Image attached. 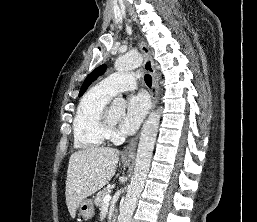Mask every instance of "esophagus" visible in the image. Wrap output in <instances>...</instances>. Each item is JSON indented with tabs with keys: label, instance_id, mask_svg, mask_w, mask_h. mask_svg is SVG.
I'll return each instance as SVG.
<instances>
[{
	"label": "esophagus",
	"instance_id": "esophagus-1",
	"mask_svg": "<svg viewBox=\"0 0 257 222\" xmlns=\"http://www.w3.org/2000/svg\"><path fill=\"white\" fill-rule=\"evenodd\" d=\"M140 50L144 55V69L150 73L152 76L153 84H152V91H151V99H152V105L151 110L155 108L156 102H157V94H158V78L155 72L154 63L149 51V48L147 47L145 42H140ZM139 136L137 135L134 137L130 143L126 146V148L123 151V156L128 158H134L135 157V150L137 146Z\"/></svg>",
	"mask_w": 257,
	"mask_h": 222
}]
</instances>
